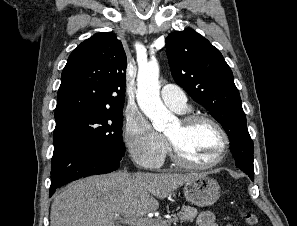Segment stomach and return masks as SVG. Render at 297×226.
Here are the masks:
<instances>
[{
	"instance_id": "0dacf381",
	"label": "stomach",
	"mask_w": 297,
	"mask_h": 226,
	"mask_svg": "<svg viewBox=\"0 0 297 226\" xmlns=\"http://www.w3.org/2000/svg\"><path fill=\"white\" fill-rule=\"evenodd\" d=\"M218 182L208 175H199L185 183L184 195L186 199L197 206L213 205L220 197Z\"/></svg>"
}]
</instances>
